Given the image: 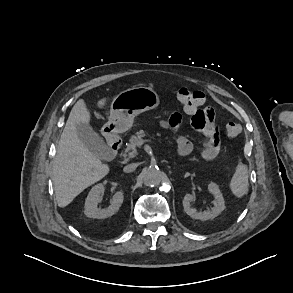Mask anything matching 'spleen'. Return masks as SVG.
<instances>
[{
  "mask_svg": "<svg viewBox=\"0 0 293 293\" xmlns=\"http://www.w3.org/2000/svg\"><path fill=\"white\" fill-rule=\"evenodd\" d=\"M248 169L243 163H239L230 181L231 192L238 198L248 193Z\"/></svg>",
  "mask_w": 293,
  "mask_h": 293,
  "instance_id": "3e777b00",
  "label": "spleen"
}]
</instances>
